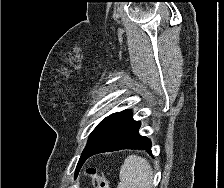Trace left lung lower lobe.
Listing matches in <instances>:
<instances>
[{"label":"left lung lower lobe","mask_w":224,"mask_h":188,"mask_svg":"<svg viewBox=\"0 0 224 188\" xmlns=\"http://www.w3.org/2000/svg\"><path fill=\"white\" fill-rule=\"evenodd\" d=\"M140 123L132 119L131 111L126 110L113 127L103 136L95 148L84 154L78 162L81 166L89 157L121 149L146 150L151 153V142L138 133Z\"/></svg>","instance_id":"1"}]
</instances>
